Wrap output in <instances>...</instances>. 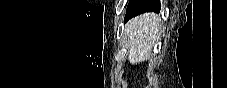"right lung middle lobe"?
<instances>
[{
  "label": "right lung middle lobe",
  "instance_id": "dd1d6c3e",
  "mask_svg": "<svg viewBox=\"0 0 227 88\" xmlns=\"http://www.w3.org/2000/svg\"><path fill=\"white\" fill-rule=\"evenodd\" d=\"M132 1H133V0H130V1H129V4H130ZM129 4H128V5H129Z\"/></svg>",
  "mask_w": 227,
  "mask_h": 88
}]
</instances>
